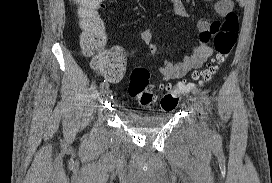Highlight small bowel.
Listing matches in <instances>:
<instances>
[{
  "label": "small bowel",
  "mask_w": 272,
  "mask_h": 183,
  "mask_svg": "<svg viewBox=\"0 0 272 183\" xmlns=\"http://www.w3.org/2000/svg\"><path fill=\"white\" fill-rule=\"evenodd\" d=\"M174 12L178 16L187 17L188 13L182 2V0H171ZM211 1V0H206ZM240 5L244 4L245 0H238ZM233 6L232 0H219L215 5L216 12L224 17L231 12ZM215 19H201L198 22V30L201 34V38H198V45L193 48L190 55L186 56L180 62H173L166 60L164 64L160 67V73L165 81L175 80L184 77L186 74L193 70H196L203 66L207 59L212 54V48L207 44L211 43V39L216 36V31L209 30H219V25H212L216 23ZM137 40L147 44L149 46L150 52L155 55L158 53L159 49L154 43L155 37L153 33L149 30L141 32L136 37ZM111 54L115 56L114 61L107 66L105 69H99L100 73L109 81L117 82L119 81L125 71L126 57L124 51L121 47L116 46L108 50Z\"/></svg>",
  "instance_id": "small-bowel-1"
}]
</instances>
